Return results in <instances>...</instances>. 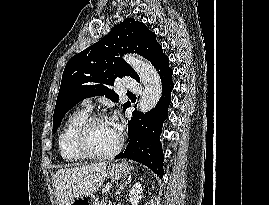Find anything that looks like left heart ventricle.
<instances>
[{"mask_svg":"<svg viewBox=\"0 0 269 205\" xmlns=\"http://www.w3.org/2000/svg\"><path fill=\"white\" fill-rule=\"evenodd\" d=\"M119 135L109 124L107 119L95 123L88 134V145L95 153H106L112 150L117 142Z\"/></svg>","mask_w":269,"mask_h":205,"instance_id":"left-heart-ventricle-1","label":"left heart ventricle"}]
</instances>
